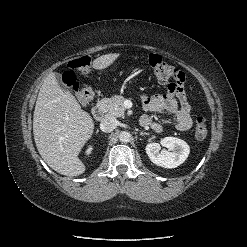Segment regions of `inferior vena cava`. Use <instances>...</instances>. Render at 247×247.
Segmentation results:
<instances>
[{
  "label": "inferior vena cava",
  "mask_w": 247,
  "mask_h": 247,
  "mask_svg": "<svg viewBox=\"0 0 247 247\" xmlns=\"http://www.w3.org/2000/svg\"><path fill=\"white\" fill-rule=\"evenodd\" d=\"M116 127H117V120L113 117H105L100 123V128L104 132H111Z\"/></svg>",
  "instance_id": "inferior-vena-cava-1"
}]
</instances>
